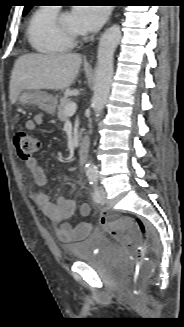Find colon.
I'll return each mask as SVG.
<instances>
[{
	"label": "colon",
	"instance_id": "1",
	"mask_svg": "<svg viewBox=\"0 0 184 327\" xmlns=\"http://www.w3.org/2000/svg\"><path fill=\"white\" fill-rule=\"evenodd\" d=\"M13 144L18 156L25 161L31 159L40 149L39 140L21 129L13 133ZM100 222L114 237L127 245L137 247L127 289L138 299L152 269L146 256V249L149 243L154 242V234L141 218L124 213H105L101 216Z\"/></svg>",
	"mask_w": 184,
	"mask_h": 327
}]
</instances>
